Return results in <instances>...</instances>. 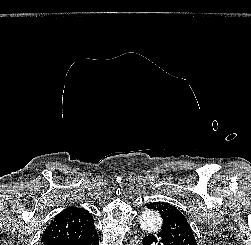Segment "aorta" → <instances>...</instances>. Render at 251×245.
Masks as SVG:
<instances>
[{
  "mask_svg": "<svg viewBox=\"0 0 251 245\" xmlns=\"http://www.w3.org/2000/svg\"><path fill=\"white\" fill-rule=\"evenodd\" d=\"M140 226L147 233L158 232L162 225V218L155 211H145L140 216Z\"/></svg>",
  "mask_w": 251,
  "mask_h": 245,
  "instance_id": "1",
  "label": "aorta"
}]
</instances>
